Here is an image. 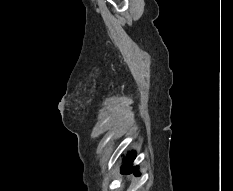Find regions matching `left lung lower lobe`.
I'll return each instance as SVG.
<instances>
[{
  "label": "left lung lower lobe",
  "instance_id": "left-lung-lower-lobe-1",
  "mask_svg": "<svg viewBox=\"0 0 233 191\" xmlns=\"http://www.w3.org/2000/svg\"><path fill=\"white\" fill-rule=\"evenodd\" d=\"M134 159H135V153L132 152L130 155L127 156V158L122 166V173L128 174V173L134 172L136 175H138L135 167L130 169Z\"/></svg>",
  "mask_w": 233,
  "mask_h": 191
}]
</instances>
